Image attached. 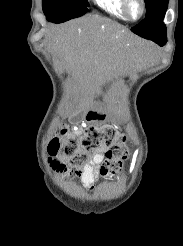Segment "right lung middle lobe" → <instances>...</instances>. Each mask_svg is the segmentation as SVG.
<instances>
[{
	"instance_id": "1",
	"label": "right lung middle lobe",
	"mask_w": 183,
	"mask_h": 246,
	"mask_svg": "<svg viewBox=\"0 0 183 246\" xmlns=\"http://www.w3.org/2000/svg\"><path fill=\"white\" fill-rule=\"evenodd\" d=\"M47 20L62 23L84 15L89 7L87 0H42Z\"/></svg>"
}]
</instances>
